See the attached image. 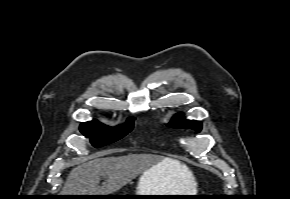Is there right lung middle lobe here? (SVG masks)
Masks as SVG:
<instances>
[{"instance_id": "obj_1", "label": "right lung middle lobe", "mask_w": 290, "mask_h": 199, "mask_svg": "<svg viewBox=\"0 0 290 199\" xmlns=\"http://www.w3.org/2000/svg\"><path fill=\"white\" fill-rule=\"evenodd\" d=\"M134 119L130 117L124 125L117 127H109L97 121L85 122L80 125V131L85 137L90 138L94 147L98 148L127 135L133 128Z\"/></svg>"}]
</instances>
